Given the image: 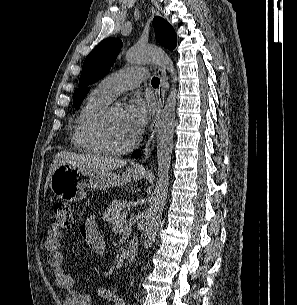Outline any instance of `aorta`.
Instances as JSON below:
<instances>
[{
    "label": "aorta",
    "mask_w": 297,
    "mask_h": 305,
    "mask_svg": "<svg viewBox=\"0 0 297 305\" xmlns=\"http://www.w3.org/2000/svg\"><path fill=\"white\" fill-rule=\"evenodd\" d=\"M126 58L131 63L156 64L162 66L170 73L172 77L171 82L173 83L156 128L158 175L154 192L151 197L150 208L146 215L144 248L148 250L155 241L168 194L169 168L173 149L177 102V90L175 86L177 75L172 60L160 48L149 45H135L127 51Z\"/></svg>",
    "instance_id": "762f6f07"
}]
</instances>
